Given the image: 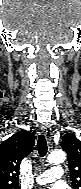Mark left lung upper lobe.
Instances as JSON below:
<instances>
[{"mask_svg": "<svg viewBox=\"0 0 81 189\" xmlns=\"http://www.w3.org/2000/svg\"><path fill=\"white\" fill-rule=\"evenodd\" d=\"M61 145L68 155L72 186L74 189H81V140L74 133H67L63 136Z\"/></svg>", "mask_w": 81, "mask_h": 189, "instance_id": "1", "label": "left lung upper lobe"}]
</instances>
